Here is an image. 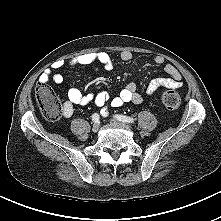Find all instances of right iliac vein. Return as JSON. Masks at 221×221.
Here are the masks:
<instances>
[{"label":"right iliac vein","instance_id":"obj_1","mask_svg":"<svg viewBox=\"0 0 221 221\" xmlns=\"http://www.w3.org/2000/svg\"><path fill=\"white\" fill-rule=\"evenodd\" d=\"M99 128H100V125H99L98 123H95V124L93 125V127H92V131H93V132H98Z\"/></svg>","mask_w":221,"mask_h":221}]
</instances>
